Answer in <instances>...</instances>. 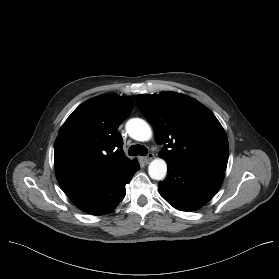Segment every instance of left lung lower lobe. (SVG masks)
I'll return each mask as SVG.
<instances>
[{"mask_svg": "<svg viewBox=\"0 0 279 279\" xmlns=\"http://www.w3.org/2000/svg\"><path fill=\"white\" fill-rule=\"evenodd\" d=\"M168 174L159 182L161 196L180 211H192L206 204L219 190L223 171L185 166L167 160Z\"/></svg>", "mask_w": 279, "mask_h": 279, "instance_id": "1", "label": "left lung lower lobe"}]
</instances>
